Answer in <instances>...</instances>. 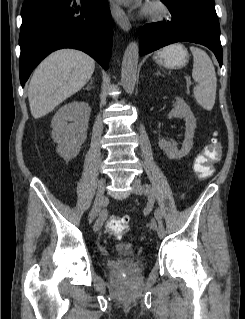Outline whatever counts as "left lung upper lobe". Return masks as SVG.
Instances as JSON below:
<instances>
[{
    "mask_svg": "<svg viewBox=\"0 0 245 319\" xmlns=\"http://www.w3.org/2000/svg\"><path fill=\"white\" fill-rule=\"evenodd\" d=\"M170 4H191L197 6L199 8L205 9L212 13H216L215 11V2L214 0H165Z\"/></svg>",
    "mask_w": 245,
    "mask_h": 319,
    "instance_id": "left-lung-upper-lobe-1",
    "label": "left lung upper lobe"
}]
</instances>
